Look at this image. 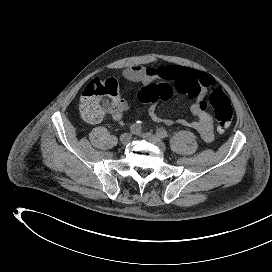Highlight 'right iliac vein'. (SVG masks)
Segmentation results:
<instances>
[{"instance_id": "63e3f726", "label": "right iliac vein", "mask_w": 272, "mask_h": 272, "mask_svg": "<svg viewBox=\"0 0 272 272\" xmlns=\"http://www.w3.org/2000/svg\"><path fill=\"white\" fill-rule=\"evenodd\" d=\"M132 139V135L130 133H124L120 137V141L123 145H127Z\"/></svg>"}]
</instances>
